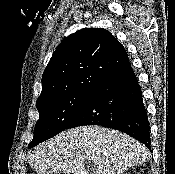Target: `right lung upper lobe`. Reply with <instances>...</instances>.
I'll return each instance as SVG.
<instances>
[{"instance_id": "right-lung-upper-lobe-1", "label": "right lung upper lobe", "mask_w": 175, "mask_h": 174, "mask_svg": "<svg viewBox=\"0 0 175 174\" xmlns=\"http://www.w3.org/2000/svg\"><path fill=\"white\" fill-rule=\"evenodd\" d=\"M129 63L123 45L107 30L82 29L56 48L42 76L38 101L95 86L109 73Z\"/></svg>"}]
</instances>
